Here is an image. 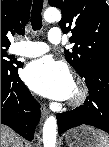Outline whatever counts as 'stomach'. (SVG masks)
<instances>
[{
  "instance_id": "1",
  "label": "stomach",
  "mask_w": 109,
  "mask_h": 147,
  "mask_svg": "<svg viewBox=\"0 0 109 147\" xmlns=\"http://www.w3.org/2000/svg\"><path fill=\"white\" fill-rule=\"evenodd\" d=\"M99 130L91 126H79L66 132L65 141L68 147H97Z\"/></svg>"
}]
</instances>
